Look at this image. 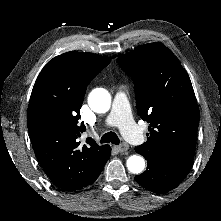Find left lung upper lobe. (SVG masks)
<instances>
[{
	"label": "left lung upper lobe",
	"instance_id": "5c2ea615",
	"mask_svg": "<svg viewBox=\"0 0 221 221\" xmlns=\"http://www.w3.org/2000/svg\"><path fill=\"white\" fill-rule=\"evenodd\" d=\"M134 81L137 112L149 123L147 142L137 146L146 157L191 163L199 110L190 78L173 52L149 43L117 59Z\"/></svg>",
	"mask_w": 221,
	"mask_h": 221
}]
</instances>
